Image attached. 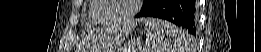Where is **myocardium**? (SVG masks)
<instances>
[{
  "mask_svg": "<svg viewBox=\"0 0 261 52\" xmlns=\"http://www.w3.org/2000/svg\"><path fill=\"white\" fill-rule=\"evenodd\" d=\"M96 1L99 3V7L96 10L95 15L100 24H107V25L124 23L131 20L137 14L141 2L140 0H132L130 10L124 16L116 20L107 21L100 18L101 11H103L107 6L106 2L104 0H96Z\"/></svg>",
  "mask_w": 261,
  "mask_h": 52,
  "instance_id": "f54148a6",
  "label": "myocardium"
}]
</instances>
